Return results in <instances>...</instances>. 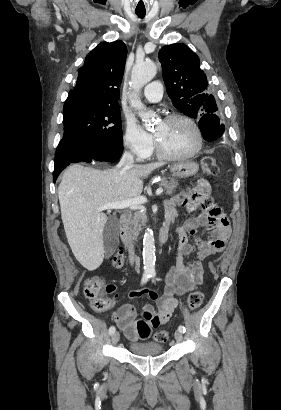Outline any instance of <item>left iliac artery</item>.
<instances>
[{
    "mask_svg": "<svg viewBox=\"0 0 281 410\" xmlns=\"http://www.w3.org/2000/svg\"><path fill=\"white\" fill-rule=\"evenodd\" d=\"M152 277H155V273H153L152 275H151ZM178 330L180 331V332H182V333H185V327L184 326H182V325H180L179 327H178Z\"/></svg>",
    "mask_w": 281,
    "mask_h": 410,
    "instance_id": "1",
    "label": "left iliac artery"
}]
</instances>
